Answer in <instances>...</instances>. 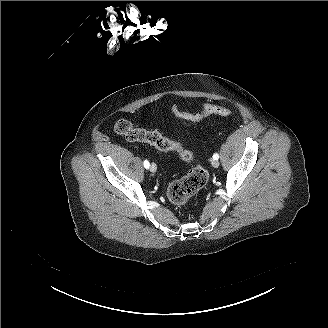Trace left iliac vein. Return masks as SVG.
<instances>
[{"mask_svg": "<svg viewBox=\"0 0 328 328\" xmlns=\"http://www.w3.org/2000/svg\"><path fill=\"white\" fill-rule=\"evenodd\" d=\"M212 166L217 168L219 166V162L216 160V159H212V162H211Z\"/></svg>", "mask_w": 328, "mask_h": 328, "instance_id": "obj_1", "label": "left iliac vein"}]
</instances>
